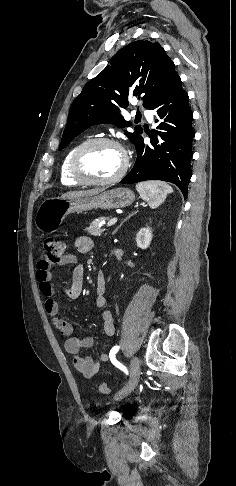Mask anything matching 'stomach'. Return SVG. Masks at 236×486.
<instances>
[{
  "label": "stomach",
  "mask_w": 236,
  "mask_h": 486,
  "mask_svg": "<svg viewBox=\"0 0 236 486\" xmlns=\"http://www.w3.org/2000/svg\"><path fill=\"white\" fill-rule=\"evenodd\" d=\"M135 200L134 192L125 187L86 197L49 198L44 200L37 209L35 225L43 233L55 232L62 221L70 213H81L92 209H116L130 206Z\"/></svg>",
  "instance_id": "obj_1"
}]
</instances>
